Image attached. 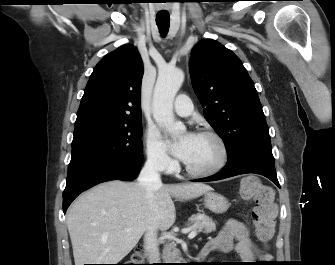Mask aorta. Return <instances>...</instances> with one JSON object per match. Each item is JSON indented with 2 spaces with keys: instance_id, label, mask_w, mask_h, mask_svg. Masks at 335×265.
<instances>
[{
  "instance_id": "762f6f07",
  "label": "aorta",
  "mask_w": 335,
  "mask_h": 265,
  "mask_svg": "<svg viewBox=\"0 0 335 265\" xmlns=\"http://www.w3.org/2000/svg\"><path fill=\"white\" fill-rule=\"evenodd\" d=\"M184 80V73L177 68H164L159 71L153 94V117L159 126L179 137L185 130L182 123L174 120L173 101Z\"/></svg>"
}]
</instances>
